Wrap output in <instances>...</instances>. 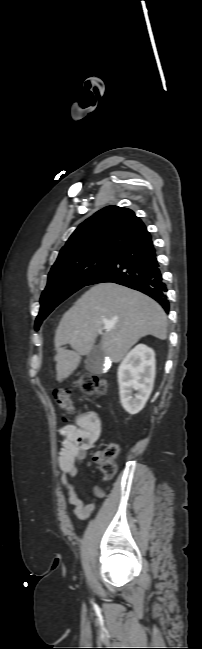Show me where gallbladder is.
<instances>
[{"label": "gallbladder", "instance_id": "obj_1", "mask_svg": "<svg viewBox=\"0 0 202 649\" xmlns=\"http://www.w3.org/2000/svg\"><path fill=\"white\" fill-rule=\"evenodd\" d=\"M104 363V353L99 345H95L87 354L85 368L91 373H101Z\"/></svg>", "mask_w": 202, "mask_h": 649}]
</instances>
